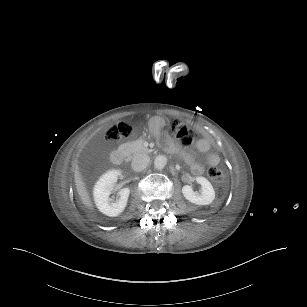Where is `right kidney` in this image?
<instances>
[{
    "instance_id": "ca27d5eb",
    "label": "right kidney",
    "mask_w": 307,
    "mask_h": 307,
    "mask_svg": "<svg viewBox=\"0 0 307 307\" xmlns=\"http://www.w3.org/2000/svg\"><path fill=\"white\" fill-rule=\"evenodd\" d=\"M119 175L120 171H108L99 179L94 188V199L98 209L109 217H117L125 210L130 195V189L123 188L118 200L110 199Z\"/></svg>"
}]
</instances>
